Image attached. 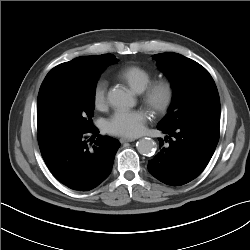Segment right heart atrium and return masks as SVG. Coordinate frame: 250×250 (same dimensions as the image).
I'll return each mask as SVG.
<instances>
[{"label":"right heart atrium","mask_w":250,"mask_h":250,"mask_svg":"<svg viewBox=\"0 0 250 250\" xmlns=\"http://www.w3.org/2000/svg\"><path fill=\"white\" fill-rule=\"evenodd\" d=\"M108 82L104 78H99L93 88V102L96 108L102 109L107 104Z\"/></svg>","instance_id":"obj_1"}]
</instances>
